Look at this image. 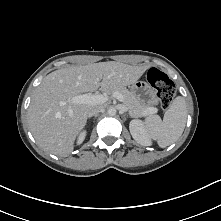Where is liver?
<instances>
[{
    "label": "liver",
    "instance_id": "1",
    "mask_svg": "<svg viewBox=\"0 0 221 221\" xmlns=\"http://www.w3.org/2000/svg\"><path fill=\"white\" fill-rule=\"evenodd\" d=\"M147 68L110 61L62 68L48 74L36 88L28 109L29 127L37 143L49 153L68 156L86 125L88 113L100 106L73 103L72 98L99 87L107 91L131 85Z\"/></svg>",
    "mask_w": 221,
    "mask_h": 221
}]
</instances>
